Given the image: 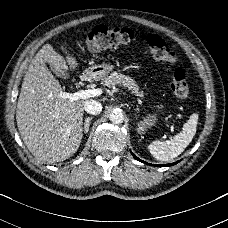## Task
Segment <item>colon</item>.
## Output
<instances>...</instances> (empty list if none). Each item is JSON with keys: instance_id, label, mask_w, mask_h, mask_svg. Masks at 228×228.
<instances>
[{"instance_id": "colon-1", "label": "colon", "mask_w": 228, "mask_h": 228, "mask_svg": "<svg viewBox=\"0 0 228 228\" xmlns=\"http://www.w3.org/2000/svg\"><path fill=\"white\" fill-rule=\"evenodd\" d=\"M86 42L91 50H117L122 45L133 42H141L148 45L152 49L154 55L162 62L171 66L177 64V57L167 42L160 36L154 34H135L129 28H110L98 25L89 30ZM172 87L176 96L186 97L188 95L186 73L179 67L174 68L172 75Z\"/></svg>"}]
</instances>
